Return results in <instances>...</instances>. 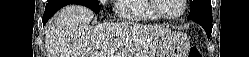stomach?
I'll return each mask as SVG.
<instances>
[{
	"instance_id": "stomach-1",
	"label": "stomach",
	"mask_w": 249,
	"mask_h": 57,
	"mask_svg": "<svg viewBox=\"0 0 249 57\" xmlns=\"http://www.w3.org/2000/svg\"><path fill=\"white\" fill-rule=\"evenodd\" d=\"M190 43L181 32L165 34L159 41L156 57H187Z\"/></svg>"
}]
</instances>
